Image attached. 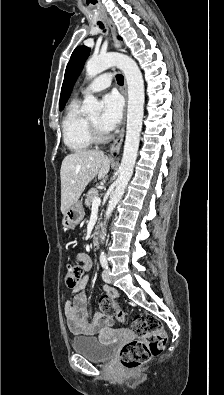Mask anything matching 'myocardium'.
<instances>
[{"mask_svg":"<svg viewBox=\"0 0 224 395\" xmlns=\"http://www.w3.org/2000/svg\"><path fill=\"white\" fill-rule=\"evenodd\" d=\"M89 121V128L92 140L96 143H101L107 140V135L105 131H103L96 123H94L91 119Z\"/></svg>","mask_w":224,"mask_h":395,"instance_id":"f54148a6","label":"myocardium"}]
</instances>
